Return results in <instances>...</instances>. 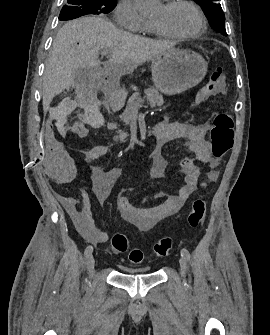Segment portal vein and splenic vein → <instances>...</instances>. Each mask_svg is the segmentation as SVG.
<instances>
[{
    "label": "portal vein and splenic vein",
    "mask_w": 270,
    "mask_h": 335,
    "mask_svg": "<svg viewBox=\"0 0 270 335\" xmlns=\"http://www.w3.org/2000/svg\"><path fill=\"white\" fill-rule=\"evenodd\" d=\"M101 54H103V56H106V54H113V52H111V50H101ZM144 103H147V102L144 101Z\"/></svg>",
    "instance_id": "obj_1"
}]
</instances>
